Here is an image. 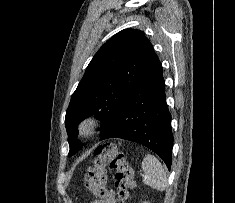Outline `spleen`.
Instances as JSON below:
<instances>
[{
	"instance_id": "spleen-1",
	"label": "spleen",
	"mask_w": 235,
	"mask_h": 203,
	"mask_svg": "<svg viewBox=\"0 0 235 203\" xmlns=\"http://www.w3.org/2000/svg\"><path fill=\"white\" fill-rule=\"evenodd\" d=\"M142 170L144 171V184L154 189L163 191L167 187V176L162 164L159 160L147 154L142 161Z\"/></svg>"
}]
</instances>
